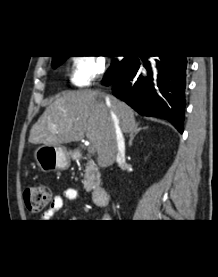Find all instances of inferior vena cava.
<instances>
[{
	"label": "inferior vena cava",
	"instance_id": "1",
	"mask_svg": "<svg viewBox=\"0 0 218 277\" xmlns=\"http://www.w3.org/2000/svg\"><path fill=\"white\" fill-rule=\"evenodd\" d=\"M111 118L113 121L115 134H116V142H117V156L116 161L118 164H124L125 163V141L124 136L122 133V130L120 128L119 119L117 116L112 112Z\"/></svg>",
	"mask_w": 218,
	"mask_h": 277
}]
</instances>
